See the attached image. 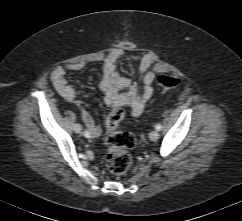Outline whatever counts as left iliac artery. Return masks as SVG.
Segmentation results:
<instances>
[{
    "instance_id": "obj_1",
    "label": "left iliac artery",
    "mask_w": 242,
    "mask_h": 221,
    "mask_svg": "<svg viewBox=\"0 0 242 221\" xmlns=\"http://www.w3.org/2000/svg\"><path fill=\"white\" fill-rule=\"evenodd\" d=\"M155 128H156L157 130H161L162 125H161V124H157V125L155 126Z\"/></svg>"
}]
</instances>
